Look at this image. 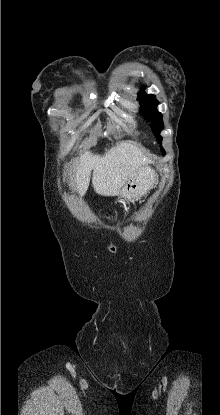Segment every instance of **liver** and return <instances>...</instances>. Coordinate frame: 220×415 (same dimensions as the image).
<instances>
[{"label": "liver", "mask_w": 220, "mask_h": 415, "mask_svg": "<svg viewBox=\"0 0 220 415\" xmlns=\"http://www.w3.org/2000/svg\"><path fill=\"white\" fill-rule=\"evenodd\" d=\"M146 162L144 154L130 143H121L107 150L104 155L85 152L76 164L74 187L85 195L92 174V185L99 195H119L130 175Z\"/></svg>", "instance_id": "6515ba94"}]
</instances>
